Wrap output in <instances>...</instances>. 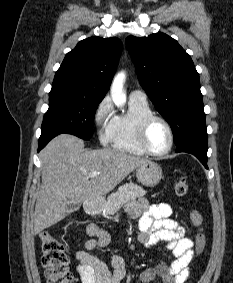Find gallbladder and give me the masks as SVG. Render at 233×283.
<instances>
[{
    "label": "gallbladder",
    "mask_w": 233,
    "mask_h": 283,
    "mask_svg": "<svg viewBox=\"0 0 233 283\" xmlns=\"http://www.w3.org/2000/svg\"><path fill=\"white\" fill-rule=\"evenodd\" d=\"M80 207V204H74L70 206L72 212L77 211Z\"/></svg>",
    "instance_id": "obj_1"
}]
</instances>
